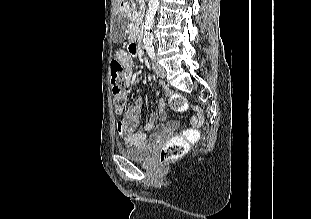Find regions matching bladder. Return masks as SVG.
Here are the masks:
<instances>
[{
	"label": "bladder",
	"instance_id": "31cf9c89",
	"mask_svg": "<svg viewBox=\"0 0 311 219\" xmlns=\"http://www.w3.org/2000/svg\"><path fill=\"white\" fill-rule=\"evenodd\" d=\"M117 150L121 156L129 160L142 161L149 157L151 149L145 145L141 146H119Z\"/></svg>",
	"mask_w": 311,
	"mask_h": 219
}]
</instances>
